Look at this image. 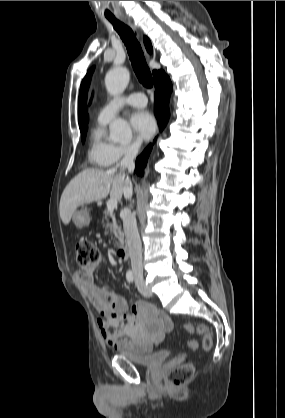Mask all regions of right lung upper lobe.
<instances>
[{
  "instance_id": "1",
  "label": "right lung upper lobe",
  "mask_w": 285,
  "mask_h": 418,
  "mask_svg": "<svg viewBox=\"0 0 285 418\" xmlns=\"http://www.w3.org/2000/svg\"><path fill=\"white\" fill-rule=\"evenodd\" d=\"M144 44L145 47L147 49V51L149 53L152 52V45L150 40L147 37H144ZM94 67H92L86 74L85 78L83 79L81 86H80V93H79V103H78V119H79V127H85L87 126V122H88V114H87V108H86V100H87V91L89 88V84H90V80H91V76L93 73ZM164 74L163 71L159 70L153 71V76H154V81L155 84H157V82L160 79V76Z\"/></svg>"
}]
</instances>
